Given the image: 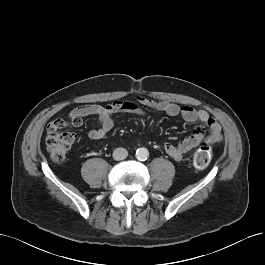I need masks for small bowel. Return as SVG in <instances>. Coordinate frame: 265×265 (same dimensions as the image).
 <instances>
[{"instance_id": "small-bowel-1", "label": "small bowel", "mask_w": 265, "mask_h": 265, "mask_svg": "<svg viewBox=\"0 0 265 265\" xmlns=\"http://www.w3.org/2000/svg\"><path fill=\"white\" fill-rule=\"evenodd\" d=\"M142 107L162 112L170 117L180 116L186 122H199L192 134L177 144L165 142V153L176 161L182 158L193 148L205 140L219 142L221 140L220 125L202 109H194L191 106H180L167 101H154L146 97H138L137 102L115 101L107 106L88 104L79 106L70 111L68 117L74 127L82 124V118L96 116L98 127L89 130L88 137L99 140L108 134L114 126L113 116L120 113L136 114L144 116Z\"/></svg>"}]
</instances>
